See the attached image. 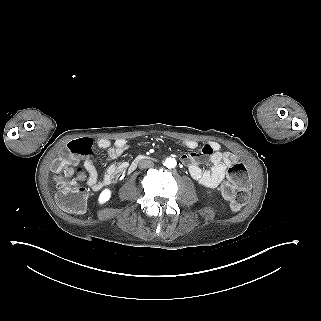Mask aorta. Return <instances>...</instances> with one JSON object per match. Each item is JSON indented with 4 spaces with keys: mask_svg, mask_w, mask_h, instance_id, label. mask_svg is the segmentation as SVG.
I'll use <instances>...</instances> for the list:
<instances>
[{
    "mask_svg": "<svg viewBox=\"0 0 321 321\" xmlns=\"http://www.w3.org/2000/svg\"><path fill=\"white\" fill-rule=\"evenodd\" d=\"M164 165H165L167 168L172 169V168H175V167H176L177 162H176L175 158L169 157V158H166V159H165Z\"/></svg>",
    "mask_w": 321,
    "mask_h": 321,
    "instance_id": "obj_1",
    "label": "aorta"
}]
</instances>
